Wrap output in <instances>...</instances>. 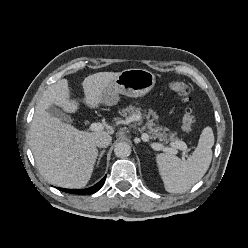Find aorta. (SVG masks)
<instances>
[{"label": "aorta", "mask_w": 248, "mask_h": 248, "mask_svg": "<svg viewBox=\"0 0 248 248\" xmlns=\"http://www.w3.org/2000/svg\"><path fill=\"white\" fill-rule=\"evenodd\" d=\"M114 153L119 158H126L131 154V146L126 142H119L115 145Z\"/></svg>", "instance_id": "762f6f07"}]
</instances>
